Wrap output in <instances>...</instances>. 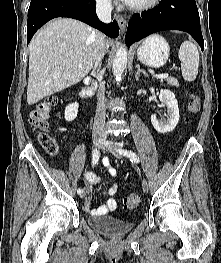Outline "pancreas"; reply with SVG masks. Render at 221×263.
<instances>
[{
    "label": "pancreas",
    "mask_w": 221,
    "mask_h": 263,
    "mask_svg": "<svg viewBox=\"0 0 221 263\" xmlns=\"http://www.w3.org/2000/svg\"><path fill=\"white\" fill-rule=\"evenodd\" d=\"M166 82L171 85V86H175V87H179V82L176 78L174 77H169L167 78Z\"/></svg>",
    "instance_id": "pancreas-1"
}]
</instances>
